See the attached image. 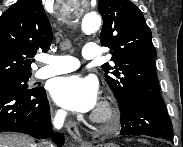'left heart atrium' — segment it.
<instances>
[{"label":"left heart atrium","mask_w":183,"mask_h":147,"mask_svg":"<svg viewBox=\"0 0 183 147\" xmlns=\"http://www.w3.org/2000/svg\"><path fill=\"white\" fill-rule=\"evenodd\" d=\"M53 100L63 108L86 112L93 109L98 99V86L94 79L70 75L55 79L50 88Z\"/></svg>","instance_id":"obj_1"}]
</instances>
